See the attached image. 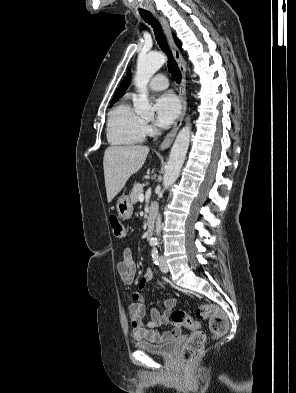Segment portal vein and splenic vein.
Returning <instances> with one entry per match:
<instances>
[{
	"label": "portal vein and splenic vein",
	"mask_w": 296,
	"mask_h": 393,
	"mask_svg": "<svg viewBox=\"0 0 296 393\" xmlns=\"http://www.w3.org/2000/svg\"><path fill=\"white\" fill-rule=\"evenodd\" d=\"M138 198H139L140 201H144V194L141 193Z\"/></svg>",
	"instance_id": "1"
}]
</instances>
